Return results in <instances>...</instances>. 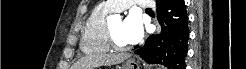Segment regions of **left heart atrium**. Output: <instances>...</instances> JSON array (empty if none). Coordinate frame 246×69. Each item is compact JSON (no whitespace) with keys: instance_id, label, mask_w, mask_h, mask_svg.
Wrapping results in <instances>:
<instances>
[{"instance_id":"39dd6f15","label":"left heart atrium","mask_w":246,"mask_h":69,"mask_svg":"<svg viewBox=\"0 0 246 69\" xmlns=\"http://www.w3.org/2000/svg\"><path fill=\"white\" fill-rule=\"evenodd\" d=\"M124 34L129 44L139 42L143 36V27L140 16L136 11H131L123 22Z\"/></svg>"}]
</instances>
